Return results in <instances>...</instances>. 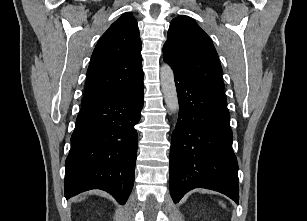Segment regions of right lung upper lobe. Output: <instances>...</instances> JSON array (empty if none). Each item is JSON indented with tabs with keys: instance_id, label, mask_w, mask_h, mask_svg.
<instances>
[{
	"instance_id": "1",
	"label": "right lung upper lobe",
	"mask_w": 307,
	"mask_h": 221,
	"mask_svg": "<svg viewBox=\"0 0 307 221\" xmlns=\"http://www.w3.org/2000/svg\"><path fill=\"white\" fill-rule=\"evenodd\" d=\"M142 80L137 20L126 13L102 35L93 51L81 106L126 91Z\"/></svg>"
}]
</instances>
